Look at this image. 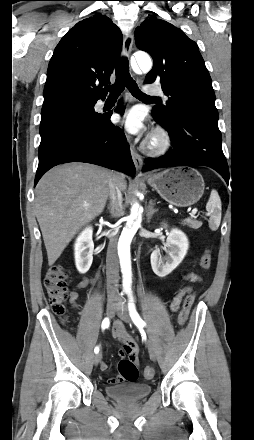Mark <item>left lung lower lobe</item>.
Masks as SVG:
<instances>
[{"label":"left lung lower lobe","instance_id":"1","mask_svg":"<svg viewBox=\"0 0 254 440\" xmlns=\"http://www.w3.org/2000/svg\"><path fill=\"white\" fill-rule=\"evenodd\" d=\"M154 119L169 133V152L159 158H147L143 171L163 167L204 165L216 170L228 183L229 170L222 151L218 119L183 110L177 123L168 124L152 111Z\"/></svg>","mask_w":254,"mask_h":440}]
</instances>
